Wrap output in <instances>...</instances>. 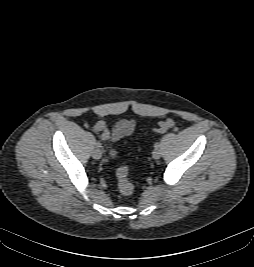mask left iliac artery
Masks as SVG:
<instances>
[{
    "label": "left iliac artery",
    "instance_id": "44dca946",
    "mask_svg": "<svg viewBox=\"0 0 254 267\" xmlns=\"http://www.w3.org/2000/svg\"><path fill=\"white\" fill-rule=\"evenodd\" d=\"M155 148H158L160 147V143L159 142H156L155 145H154Z\"/></svg>",
    "mask_w": 254,
    "mask_h": 267
}]
</instances>
